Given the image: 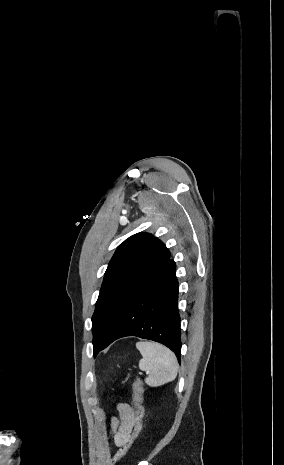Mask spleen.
Returning a JSON list of instances; mask_svg holds the SVG:
<instances>
[{
	"label": "spleen",
	"mask_w": 284,
	"mask_h": 465,
	"mask_svg": "<svg viewBox=\"0 0 284 465\" xmlns=\"http://www.w3.org/2000/svg\"><path fill=\"white\" fill-rule=\"evenodd\" d=\"M136 349L143 357L139 361V369L148 373L145 379L146 385L161 387V385L176 379L178 365L176 357L170 349L159 345V343H148V341L136 343Z\"/></svg>",
	"instance_id": "spleen-1"
}]
</instances>
